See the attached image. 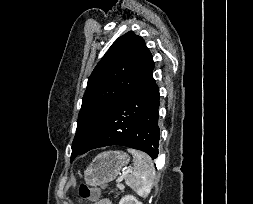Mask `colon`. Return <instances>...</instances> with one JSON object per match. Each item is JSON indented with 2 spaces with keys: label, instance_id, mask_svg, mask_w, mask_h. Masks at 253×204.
Masks as SVG:
<instances>
[{
  "label": "colon",
  "instance_id": "obj_1",
  "mask_svg": "<svg viewBox=\"0 0 253 204\" xmlns=\"http://www.w3.org/2000/svg\"><path fill=\"white\" fill-rule=\"evenodd\" d=\"M99 193L98 187L82 184L78 190L79 201L81 204L93 203L99 198Z\"/></svg>",
  "mask_w": 253,
  "mask_h": 204
}]
</instances>
